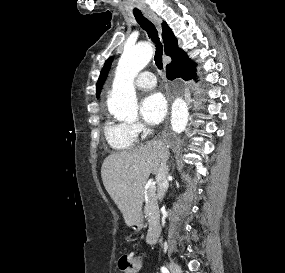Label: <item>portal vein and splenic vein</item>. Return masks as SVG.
<instances>
[{
	"mask_svg": "<svg viewBox=\"0 0 285 273\" xmlns=\"http://www.w3.org/2000/svg\"><path fill=\"white\" fill-rule=\"evenodd\" d=\"M155 188H156V187H155V184H152V185L150 186V189H151V190H155Z\"/></svg>",
	"mask_w": 285,
	"mask_h": 273,
	"instance_id": "obj_1",
	"label": "portal vein and splenic vein"
}]
</instances>
